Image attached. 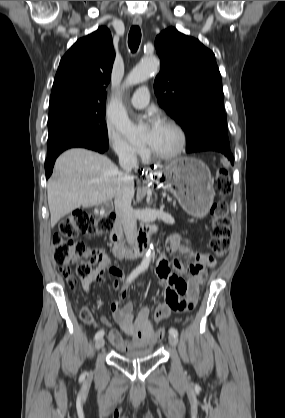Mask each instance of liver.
<instances>
[{
  "instance_id": "1",
  "label": "liver",
  "mask_w": 285,
  "mask_h": 418,
  "mask_svg": "<svg viewBox=\"0 0 285 418\" xmlns=\"http://www.w3.org/2000/svg\"><path fill=\"white\" fill-rule=\"evenodd\" d=\"M47 184L51 226L73 210L111 201L118 188V167L106 156L83 148L63 152Z\"/></svg>"
}]
</instances>
